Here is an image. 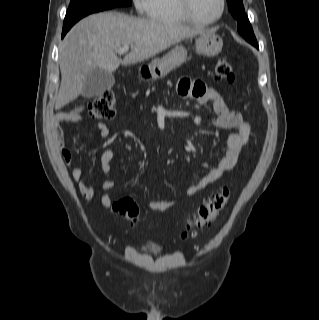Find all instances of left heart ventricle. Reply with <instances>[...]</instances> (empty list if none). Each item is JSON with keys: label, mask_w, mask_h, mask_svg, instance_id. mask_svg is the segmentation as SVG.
Masks as SVG:
<instances>
[{"label": "left heart ventricle", "mask_w": 319, "mask_h": 320, "mask_svg": "<svg viewBox=\"0 0 319 320\" xmlns=\"http://www.w3.org/2000/svg\"><path fill=\"white\" fill-rule=\"evenodd\" d=\"M220 0H192L195 15L203 20L215 18L220 11Z\"/></svg>", "instance_id": "obj_1"}]
</instances>
